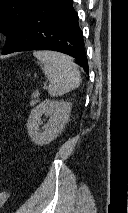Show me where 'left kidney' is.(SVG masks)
Masks as SVG:
<instances>
[{
    "instance_id": "left-kidney-1",
    "label": "left kidney",
    "mask_w": 128,
    "mask_h": 213,
    "mask_svg": "<svg viewBox=\"0 0 128 213\" xmlns=\"http://www.w3.org/2000/svg\"><path fill=\"white\" fill-rule=\"evenodd\" d=\"M71 103L46 99L30 113L27 129L28 135L36 145H47L58 137L69 120ZM49 116L43 131H39L41 117Z\"/></svg>"
}]
</instances>
